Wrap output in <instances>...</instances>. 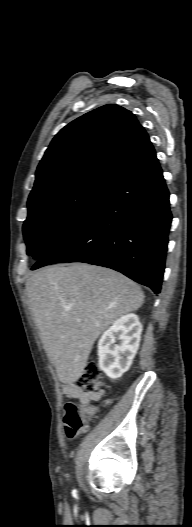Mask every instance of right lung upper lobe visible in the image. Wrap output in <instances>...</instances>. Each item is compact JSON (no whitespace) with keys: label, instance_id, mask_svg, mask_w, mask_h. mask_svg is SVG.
Listing matches in <instances>:
<instances>
[{"label":"right lung upper lobe","instance_id":"cb5924a9","mask_svg":"<svg viewBox=\"0 0 192 527\" xmlns=\"http://www.w3.org/2000/svg\"><path fill=\"white\" fill-rule=\"evenodd\" d=\"M150 144L130 111L99 107L66 125L54 137L37 171L30 197L77 181L110 180Z\"/></svg>","mask_w":192,"mask_h":527}]
</instances>
